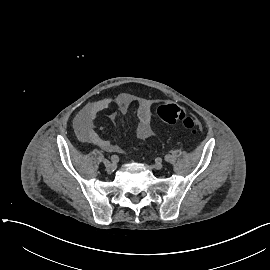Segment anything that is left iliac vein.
<instances>
[{"label":"left iliac vein","mask_w":270,"mask_h":270,"mask_svg":"<svg viewBox=\"0 0 270 270\" xmlns=\"http://www.w3.org/2000/svg\"><path fill=\"white\" fill-rule=\"evenodd\" d=\"M154 168L157 169V170H160L163 168V164L161 162H157L155 165H154Z\"/></svg>","instance_id":"left-iliac-vein-1"}]
</instances>
